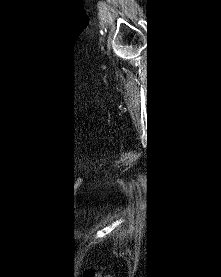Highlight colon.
<instances>
[{
	"label": "colon",
	"mask_w": 221,
	"mask_h": 277,
	"mask_svg": "<svg viewBox=\"0 0 221 277\" xmlns=\"http://www.w3.org/2000/svg\"><path fill=\"white\" fill-rule=\"evenodd\" d=\"M83 277H112L111 275H101L94 271H85Z\"/></svg>",
	"instance_id": "5ec220e1"
}]
</instances>
